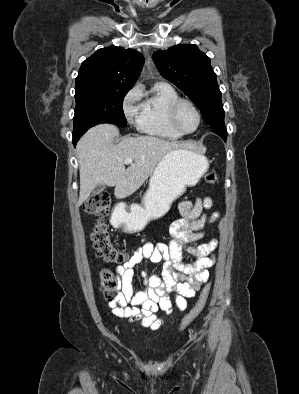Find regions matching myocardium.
I'll use <instances>...</instances> for the list:
<instances>
[{"label": "myocardium", "instance_id": "1", "mask_svg": "<svg viewBox=\"0 0 299 394\" xmlns=\"http://www.w3.org/2000/svg\"><path fill=\"white\" fill-rule=\"evenodd\" d=\"M183 105L190 106L195 111V113L198 117L197 127L193 131H185L184 129H182L180 127V125L178 123V112ZM168 120H169L171 127L174 130H176L178 133H180L182 135H189V134L195 133L200 128L201 123H202V115H201L199 108L192 101H190L188 99H184V98H179L171 104V106L168 110Z\"/></svg>", "mask_w": 299, "mask_h": 394}]
</instances>
